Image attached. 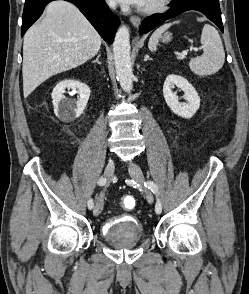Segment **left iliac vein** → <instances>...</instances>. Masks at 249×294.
<instances>
[{
    "mask_svg": "<svg viewBox=\"0 0 249 294\" xmlns=\"http://www.w3.org/2000/svg\"><path fill=\"white\" fill-rule=\"evenodd\" d=\"M128 171L131 178H133L134 180L139 182L144 181L142 170L137 164H134V163L130 164L128 167ZM145 195H146V199L148 203L150 204L153 203V194L151 193L149 189L145 190Z\"/></svg>",
    "mask_w": 249,
    "mask_h": 294,
    "instance_id": "1",
    "label": "left iliac vein"
}]
</instances>
